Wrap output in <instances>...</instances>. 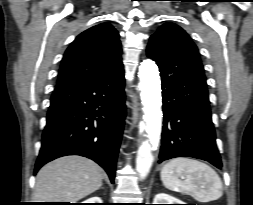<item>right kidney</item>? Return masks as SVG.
Segmentation results:
<instances>
[{
    "instance_id": "right-kidney-1",
    "label": "right kidney",
    "mask_w": 253,
    "mask_h": 205,
    "mask_svg": "<svg viewBox=\"0 0 253 205\" xmlns=\"http://www.w3.org/2000/svg\"><path fill=\"white\" fill-rule=\"evenodd\" d=\"M82 203H102V200L99 197H92L87 199L86 201H83Z\"/></svg>"
}]
</instances>
